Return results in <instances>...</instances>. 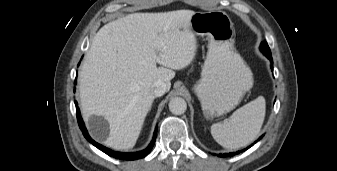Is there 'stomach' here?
Instances as JSON below:
<instances>
[{"mask_svg": "<svg viewBox=\"0 0 337 171\" xmlns=\"http://www.w3.org/2000/svg\"><path fill=\"white\" fill-rule=\"evenodd\" d=\"M195 36L206 37L208 52L196 93L206 119L233 110L253 86V74L235 51V30L223 11L196 12L190 20Z\"/></svg>", "mask_w": 337, "mask_h": 171, "instance_id": "1", "label": "stomach"}]
</instances>
